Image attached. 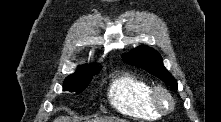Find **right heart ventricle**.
Listing matches in <instances>:
<instances>
[{
  "instance_id": "e07e8e85",
  "label": "right heart ventricle",
  "mask_w": 221,
  "mask_h": 122,
  "mask_svg": "<svg viewBox=\"0 0 221 122\" xmlns=\"http://www.w3.org/2000/svg\"><path fill=\"white\" fill-rule=\"evenodd\" d=\"M151 85L144 78L124 72L114 77L108 89L111 105L120 113L135 118L155 120L161 114L150 100Z\"/></svg>"
}]
</instances>
